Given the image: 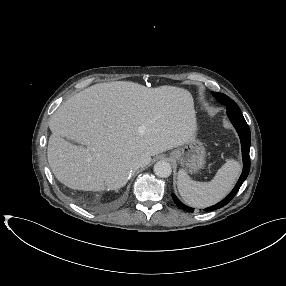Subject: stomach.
Segmentation results:
<instances>
[{
    "instance_id": "0dacf381",
    "label": "stomach",
    "mask_w": 286,
    "mask_h": 286,
    "mask_svg": "<svg viewBox=\"0 0 286 286\" xmlns=\"http://www.w3.org/2000/svg\"><path fill=\"white\" fill-rule=\"evenodd\" d=\"M170 156L179 162L186 172L195 173L204 165L205 148L200 141L194 140L173 150Z\"/></svg>"
}]
</instances>
